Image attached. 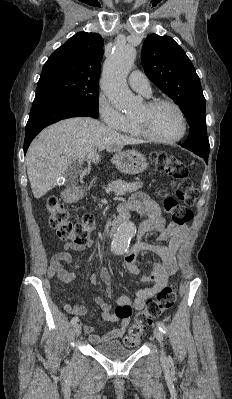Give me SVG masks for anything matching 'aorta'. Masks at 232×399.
<instances>
[{
  "label": "aorta",
  "instance_id": "1",
  "mask_svg": "<svg viewBox=\"0 0 232 399\" xmlns=\"http://www.w3.org/2000/svg\"><path fill=\"white\" fill-rule=\"evenodd\" d=\"M135 59L134 48L118 46L104 63L102 90L119 110L131 111L139 105V100L133 95L126 81ZM135 233V225L130 221L124 222L112 240L111 251L117 255L124 254Z\"/></svg>",
  "mask_w": 232,
  "mask_h": 399
}]
</instances>
